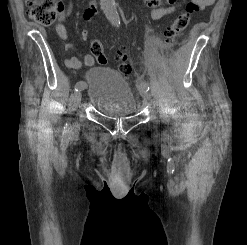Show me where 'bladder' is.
<instances>
[{
	"label": "bladder",
	"instance_id": "bladder-1",
	"mask_svg": "<svg viewBox=\"0 0 247 245\" xmlns=\"http://www.w3.org/2000/svg\"><path fill=\"white\" fill-rule=\"evenodd\" d=\"M89 102L107 116H128L137 111V98L129 82L117 71L96 66L88 70Z\"/></svg>",
	"mask_w": 247,
	"mask_h": 245
}]
</instances>
